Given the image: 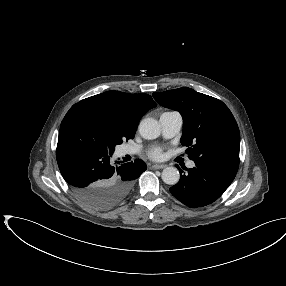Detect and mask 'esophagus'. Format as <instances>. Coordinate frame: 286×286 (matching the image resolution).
Here are the masks:
<instances>
[{
  "instance_id": "obj_1",
  "label": "esophagus",
  "mask_w": 286,
  "mask_h": 286,
  "mask_svg": "<svg viewBox=\"0 0 286 286\" xmlns=\"http://www.w3.org/2000/svg\"><path fill=\"white\" fill-rule=\"evenodd\" d=\"M152 169H164L166 165L164 164H154L150 166Z\"/></svg>"
}]
</instances>
